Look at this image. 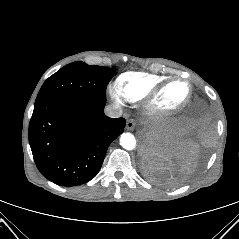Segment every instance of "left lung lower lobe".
Here are the masks:
<instances>
[{
	"instance_id": "1",
	"label": "left lung lower lobe",
	"mask_w": 239,
	"mask_h": 239,
	"mask_svg": "<svg viewBox=\"0 0 239 239\" xmlns=\"http://www.w3.org/2000/svg\"><path fill=\"white\" fill-rule=\"evenodd\" d=\"M211 136L207 111L199 104L190 106L173 126L144 142L145 176L169 187L183 183L204 163Z\"/></svg>"
}]
</instances>
